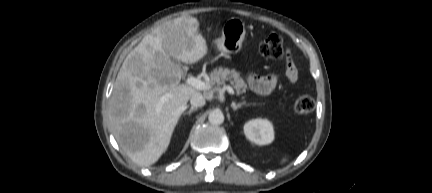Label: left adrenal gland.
I'll list each match as a JSON object with an SVG mask.
<instances>
[{
    "instance_id": "a2214340",
    "label": "left adrenal gland",
    "mask_w": 432,
    "mask_h": 193,
    "mask_svg": "<svg viewBox=\"0 0 432 193\" xmlns=\"http://www.w3.org/2000/svg\"><path fill=\"white\" fill-rule=\"evenodd\" d=\"M243 105H246L245 101L237 103V104L235 102H232L231 107L234 111H236L237 109L241 108Z\"/></svg>"
}]
</instances>
